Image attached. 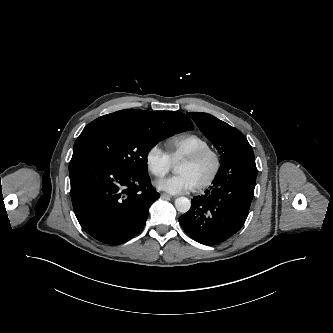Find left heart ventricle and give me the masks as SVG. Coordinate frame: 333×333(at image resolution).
<instances>
[{"label":"left heart ventricle","instance_id":"1","mask_svg":"<svg viewBox=\"0 0 333 333\" xmlns=\"http://www.w3.org/2000/svg\"><path fill=\"white\" fill-rule=\"evenodd\" d=\"M211 169L212 160L210 158H205L196 163L181 161L177 167V173L188 175L197 186L208 177Z\"/></svg>","mask_w":333,"mask_h":333}]
</instances>
